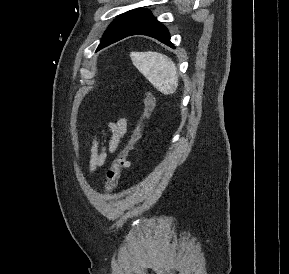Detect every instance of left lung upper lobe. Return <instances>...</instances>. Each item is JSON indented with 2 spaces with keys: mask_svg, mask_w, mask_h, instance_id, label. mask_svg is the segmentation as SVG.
<instances>
[{
  "mask_svg": "<svg viewBox=\"0 0 289 274\" xmlns=\"http://www.w3.org/2000/svg\"><path fill=\"white\" fill-rule=\"evenodd\" d=\"M151 12L147 9H135L122 14L116 18L108 27L102 37V41L98 48L119 40L121 37L133 31L141 23L151 16Z\"/></svg>",
  "mask_w": 289,
  "mask_h": 274,
  "instance_id": "5c2ea615",
  "label": "left lung upper lobe"
}]
</instances>
